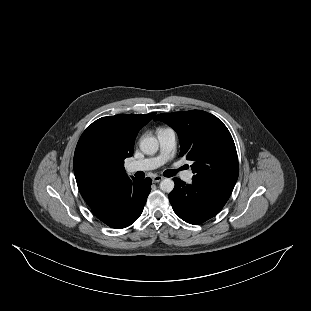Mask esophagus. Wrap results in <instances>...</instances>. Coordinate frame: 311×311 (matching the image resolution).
Masks as SVG:
<instances>
[{"mask_svg": "<svg viewBox=\"0 0 311 311\" xmlns=\"http://www.w3.org/2000/svg\"><path fill=\"white\" fill-rule=\"evenodd\" d=\"M152 180H153L154 183H158V182H160L161 180H163V177L160 176V175H156V176H154V177L152 178Z\"/></svg>", "mask_w": 311, "mask_h": 311, "instance_id": "obj_1", "label": "esophagus"}]
</instances>
